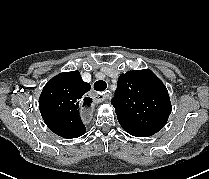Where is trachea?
<instances>
[{
    "label": "trachea",
    "mask_w": 209,
    "mask_h": 179,
    "mask_svg": "<svg viewBox=\"0 0 209 179\" xmlns=\"http://www.w3.org/2000/svg\"><path fill=\"white\" fill-rule=\"evenodd\" d=\"M106 88H107V83L105 81H103V80H99V81H96L94 83V89L96 91L102 92V91H105Z\"/></svg>",
    "instance_id": "1"
}]
</instances>
